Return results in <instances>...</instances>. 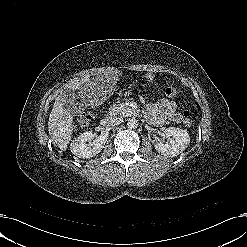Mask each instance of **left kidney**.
<instances>
[{"instance_id": "obj_1", "label": "left kidney", "mask_w": 247, "mask_h": 247, "mask_svg": "<svg viewBox=\"0 0 247 247\" xmlns=\"http://www.w3.org/2000/svg\"><path fill=\"white\" fill-rule=\"evenodd\" d=\"M189 143L190 137L187 131L175 127L167 128L163 139L153 140L157 152L169 157H175L182 153Z\"/></svg>"}]
</instances>
